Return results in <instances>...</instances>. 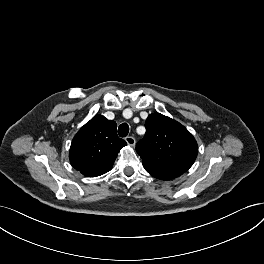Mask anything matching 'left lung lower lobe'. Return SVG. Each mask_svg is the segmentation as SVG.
<instances>
[{
  "label": "left lung lower lobe",
  "instance_id": "obj_1",
  "mask_svg": "<svg viewBox=\"0 0 264 264\" xmlns=\"http://www.w3.org/2000/svg\"><path fill=\"white\" fill-rule=\"evenodd\" d=\"M143 166L150 175L160 180H171L184 173L174 169H168V168H162V167L150 165L148 163H143Z\"/></svg>",
  "mask_w": 264,
  "mask_h": 264
}]
</instances>
